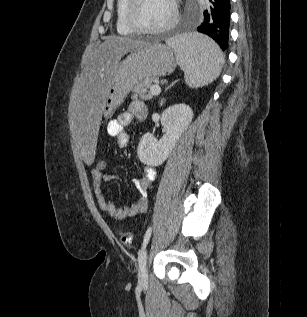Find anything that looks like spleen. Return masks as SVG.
<instances>
[{
    "label": "spleen",
    "instance_id": "obj_1",
    "mask_svg": "<svg viewBox=\"0 0 307 317\" xmlns=\"http://www.w3.org/2000/svg\"><path fill=\"white\" fill-rule=\"evenodd\" d=\"M174 49L177 64L184 71L186 84L199 88L213 82L224 62L219 46L209 37L191 33L166 41Z\"/></svg>",
    "mask_w": 307,
    "mask_h": 317
}]
</instances>
